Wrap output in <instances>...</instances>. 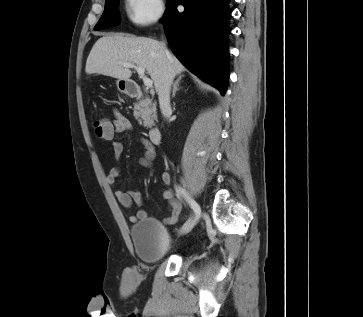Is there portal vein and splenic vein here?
I'll return each mask as SVG.
<instances>
[{
    "instance_id": "obj_1",
    "label": "portal vein and splenic vein",
    "mask_w": 363,
    "mask_h": 317,
    "mask_svg": "<svg viewBox=\"0 0 363 317\" xmlns=\"http://www.w3.org/2000/svg\"><path fill=\"white\" fill-rule=\"evenodd\" d=\"M120 65L126 68H134L137 71L139 77L143 79L144 85L146 87H152L153 81L145 76V69L143 67L135 66L131 63H120Z\"/></svg>"
}]
</instances>
